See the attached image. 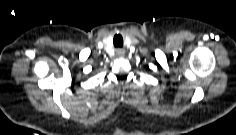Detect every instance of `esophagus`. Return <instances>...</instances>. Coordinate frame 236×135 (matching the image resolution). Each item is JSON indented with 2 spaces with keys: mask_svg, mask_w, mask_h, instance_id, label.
<instances>
[{
  "mask_svg": "<svg viewBox=\"0 0 236 135\" xmlns=\"http://www.w3.org/2000/svg\"><path fill=\"white\" fill-rule=\"evenodd\" d=\"M116 54L120 57H122L124 55V51L123 50H117Z\"/></svg>",
  "mask_w": 236,
  "mask_h": 135,
  "instance_id": "esophagus-1",
  "label": "esophagus"
}]
</instances>
